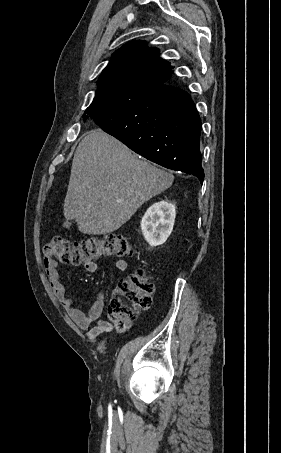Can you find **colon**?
Wrapping results in <instances>:
<instances>
[{"label":"colon","instance_id":"obj_1","mask_svg":"<svg viewBox=\"0 0 281 453\" xmlns=\"http://www.w3.org/2000/svg\"><path fill=\"white\" fill-rule=\"evenodd\" d=\"M137 250L126 239L81 238L70 241L55 235L45 251L50 262H95L102 257H134ZM145 270L138 269L136 275L119 282L120 300L112 305V313L121 320L120 327H129L133 313L144 312L152 301L154 284L145 277Z\"/></svg>","mask_w":281,"mask_h":453}]
</instances>
